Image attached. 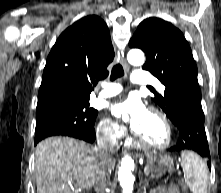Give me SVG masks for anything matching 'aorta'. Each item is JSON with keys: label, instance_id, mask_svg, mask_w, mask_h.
Returning a JSON list of instances; mask_svg holds the SVG:
<instances>
[{"label": "aorta", "instance_id": "762f6f07", "mask_svg": "<svg viewBox=\"0 0 221 193\" xmlns=\"http://www.w3.org/2000/svg\"><path fill=\"white\" fill-rule=\"evenodd\" d=\"M127 60L131 65L142 66L145 62L144 53L140 49H132L127 54ZM134 162L131 157L125 156L121 160L118 170V179L123 189V193H132L134 176L131 173V167Z\"/></svg>", "mask_w": 221, "mask_h": 193}]
</instances>
